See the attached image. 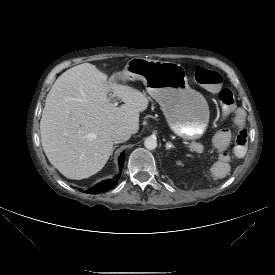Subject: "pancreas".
Instances as JSON below:
<instances>
[{"label": "pancreas", "instance_id": "cf45deb5", "mask_svg": "<svg viewBox=\"0 0 275 275\" xmlns=\"http://www.w3.org/2000/svg\"><path fill=\"white\" fill-rule=\"evenodd\" d=\"M200 146H202L200 143H193L192 145H191V147L195 150L196 149V147H200Z\"/></svg>", "mask_w": 275, "mask_h": 275}]
</instances>
